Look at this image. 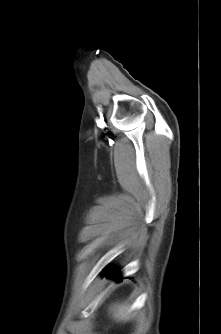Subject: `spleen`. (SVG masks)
I'll return each mask as SVG.
<instances>
[{
    "instance_id": "3e777b00",
    "label": "spleen",
    "mask_w": 221,
    "mask_h": 334,
    "mask_svg": "<svg viewBox=\"0 0 221 334\" xmlns=\"http://www.w3.org/2000/svg\"><path fill=\"white\" fill-rule=\"evenodd\" d=\"M115 307V309H117V311H118V313L116 312V310L113 308V311H115V316H120V315H123V313L125 312V307H123V306H120V305H115L114 306Z\"/></svg>"
}]
</instances>
